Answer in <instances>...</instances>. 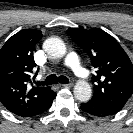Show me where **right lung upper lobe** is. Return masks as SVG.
<instances>
[{"mask_svg": "<svg viewBox=\"0 0 133 133\" xmlns=\"http://www.w3.org/2000/svg\"><path fill=\"white\" fill-rule=\"evenodd\" d=\"M41 31L26 29L9 38L0 50V102L10 112L31 117L44 112L56 94L50 87H35L31 73L33 51Z\"/></svg>", "mask_w": 133, "mask_h": 133, "instance_id": "cb5924a9", "label": "right lung upper lobe"}]
</instances>
